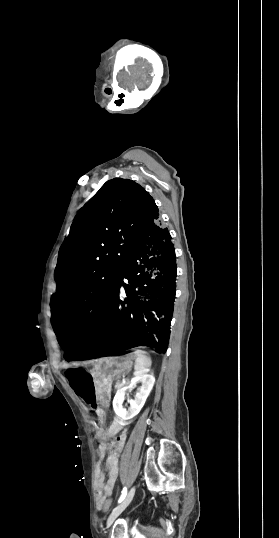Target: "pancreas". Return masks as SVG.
Masks as SVG:
<instances>
[{
  "label": "pancreas",
  "mask_w": 279,
  "mask_h": 538,
  "mask_svg": "<svg viewBox=\"0 0 279 538\" xmlns=\"http://www.w3.org/2000/svg\"><path fill=\"white\" fill-rule=\"evenodd\" d=\"M113 384H114L115 386H118V385L120 384V381H119L118 379H115V380L113 381Z\"/></svg>",
  "instance_id": "cf45deb5"
}]
</instances>
